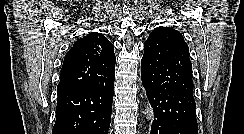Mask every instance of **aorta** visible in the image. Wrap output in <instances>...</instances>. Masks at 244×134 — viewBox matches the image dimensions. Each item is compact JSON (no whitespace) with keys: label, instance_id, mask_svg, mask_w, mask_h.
<instances>
[{"label":"aorta","instance_id":"aorta-1","mask_svg":"<svg viewBox=\"0 0 244 134\" xmlns=\"http://www.w3.org/2000/svg\"><path fill=\"white\" fill-rule=\"evenodd\" d=\"M145 114L149 121L153 120V109L149 102H147V104H146Z\"/></svg>","mask_w":244,"mask_h":134}]
</instances>
